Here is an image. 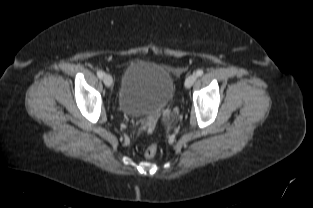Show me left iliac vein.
<instances>
[{
  "instance_id": "obj_1",
  "label": "left iliac vein",
  "mask_w": 313,
  "mask_h": 208,
  "mask_svg": "<svg viewBox=\"0 0 313 208\" xmlns=\"http://www.w3.org/2000/svg\"><path fill=\"white\" fill-rule=\"evenodd\" d=\"M197 80L196 74L189 75L185 80V87L190 88Z\"/></svg>"
}]
</instances>
